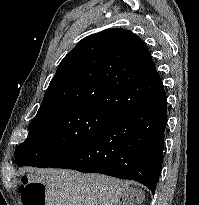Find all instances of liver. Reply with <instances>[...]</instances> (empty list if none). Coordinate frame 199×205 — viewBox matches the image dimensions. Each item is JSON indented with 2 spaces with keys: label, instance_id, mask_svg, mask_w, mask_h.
Returning <instances> with one entry per match:
<instances>
[{
  "label": "liver",
  "instance_id": "1",
  "mask_svg": "<svg viewBox=\"0 0 199 205\" xmlns=\"http://www.w3.org/2000/svg\"><path fill=\"white\" fill-rule=\"evenodd\" d=\"M38 180L45 186L47 205H118L120 198L130 205L136 195L127 182L99 174L47 169Z\"/></svg>",
  "mask_w": 199,
  "mask_h": 205
}]
</instances>
